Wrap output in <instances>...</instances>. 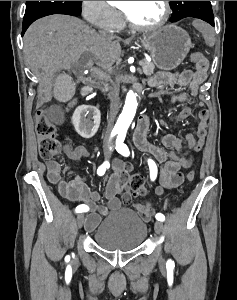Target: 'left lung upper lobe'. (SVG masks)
Listing matches in <instances>:
<instances>
[{"label": "left lung upper lobe", "mask_w": 237, "mask_h": 300, "mask_svg": "<svg viewBox=\"0 0 237 300\" xmlns=\"http://www.w3.org/2000/svg\"><path fill=\"white\" fill-rule=\"evenodd\" d=\"M170 4L173 9L172 22L186 17L204 21L214 18L210 1H170Z\"/></svg>", "instance_id": "5c2ea615"}]
</instances>
